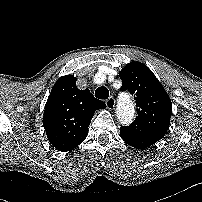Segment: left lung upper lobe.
<instances>
[{"label":"left lung upper lobe","mask_w":202,"mask_h":202,"mask_svg":"<svg viewBox=\"0 0 202 202\" xmlns=\"http://www.w3.org/2000/svg\"><path fill=\"white\" fill-rule=\"evenodd\" d=\"M121 90L134 95L137 117L123 127L130 133L154 140L164 137L170 125L172 103L165 89L153 72L140 62L128 63L120 72Z\"/></svg>","instance_id":"5c2ea615"}]
</instances>
